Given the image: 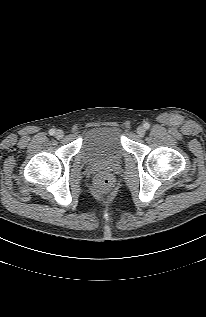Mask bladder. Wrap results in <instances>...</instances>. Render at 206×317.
Masks as SVG:
<instances>
[{
	"mask_svg": "<svg viewBox=\"0 0 206 317\" xmlns=\"http://www.w3.org/2000/svg\"><path fill=\"white\" fill-rule=\"evenodd\" d=\"M123 154L121 133L116 126L90 127L82 138L80 157L85 165H114L121 161Z\"/></svg>",
	"mask_w": 206,
	"mask_h": 317,
	"instance_id": "1",
	"label": "bladder"
}]
</instances>
